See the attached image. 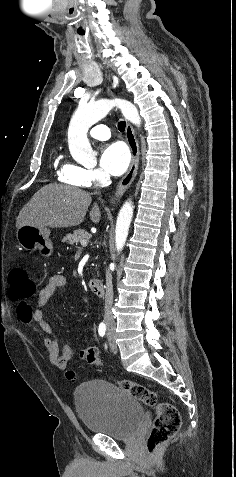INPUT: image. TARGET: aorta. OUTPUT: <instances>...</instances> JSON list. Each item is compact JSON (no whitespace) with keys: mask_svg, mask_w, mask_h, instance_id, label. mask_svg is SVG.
Masks as SVG:
<instances>
[{"mask_svg":"<svg viewBox=\"0 0 236 477\" xmlns=\"http://www.w3.org/2000/svg\"><path fill=\"white\" fill-rule=\"evenodd\" d=\"M113 107L121 109L124 117L135 125L141 124L138 110L131 102L123 99H102L88 104H81L75 111L68 129V144L72 156L82 163H92L96 152L92 149L87 137L89 128L104 118ZM133 217V204L126 201L119 211L115 241L116 248L121 251L125 245L130 223Z\"/></svg>","mask_w":236,"mask_h":477,"instance_id":"obj_1","label":"aorta"}]
</instances>
